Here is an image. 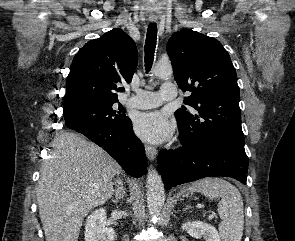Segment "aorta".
Segmentation results:
<instances>
[{"label":"aorta","instance_id":"aorta-1","mask_svg":"<svg viewBox=\"0 0 295 241\" xmlns=\"http://www.w3.org/2000/svg\"><path fill=\"white\" fill-rule=\"evenodd\" d=\"M153 74L158 78H168L173 74V70L170 64L158 63L153 68ZM146 187L149 213L157 214L164 205L165 191L162 178L155 169H149Z\"/></svg>","mask_w":295,"mask_h":241}]
</instances>
